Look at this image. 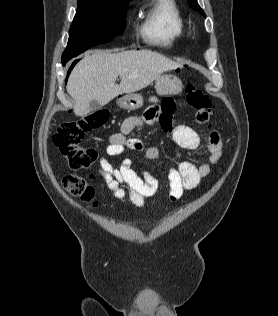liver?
Segmentation results:
<instances>
[{"label":"liver","instance_id":"obj_1","mask_svg":"<svg viewBox=\"0 0 278 316\" xmlns=\"http://www.w3.org/2000/svg\"><path fill=\"white\" fill-rule=\"evenodd\" d=\"M179 67V63L149 50L116 54L99 50L78 62L66 89L75 101L74 113L85 116L91 112V100L106 105L118 95L139 91L163 72ZM118 76L121 78L119 85L116 84Z\"/></svg>","mask_w":278,"mask_h":316}]
</instances>
